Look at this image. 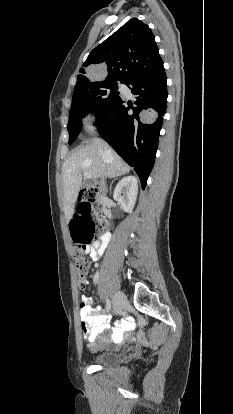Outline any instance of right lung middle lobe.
Instances as JSON below:
<instances>
[{
  "label": "right lung middle lobe",
  "instance_id": "obj_1",
  "mask_svg": "<svg viewBox=\"0 0 233 414\" xmlns=\"http://www.w3.org/2000/svg\"><path fill=\"white\" fill-rule=\"evenodd\" d=\"M117 89V82H103L73 95L67 125L69 144L79 135L82 128V118L88 113H94L96 116H99L120 99Z\"/></svg>",
  "mask_w": 233,
  "mask_h": 414
}]
</instances>
